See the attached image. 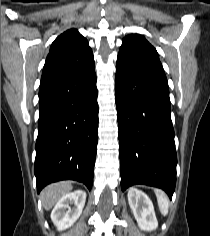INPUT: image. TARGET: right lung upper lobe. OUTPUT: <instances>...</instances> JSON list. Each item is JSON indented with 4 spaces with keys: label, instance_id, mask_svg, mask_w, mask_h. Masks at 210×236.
<instances>
[{
    "label": "right lung upper lobe",
    "instance_id": "1",
    "mask_svg": "<svg viewBox=\"0 0 210 236\" xmlns=\"http://www.w3.org/2000/svg\"><path fill=\"white\" fill-rule=\"evenodd\" d=\"M92 66L94 57L88 41L77 30L70 29L52 43L43 68L40 87Z\"/></svg>",
    "mask_w": 210,
    "mask_h": 236
}]
</instances>
